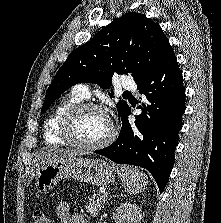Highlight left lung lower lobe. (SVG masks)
I'll use <instances>...</instances> for the list:
<instances>
[{"mask_svg":"<svg viewBox=\"0 0 221 223\" xmlns=\"http://www.w3.org/2000/svg\"><path fill=\"white\" fill-rule=\"evenodd\" d=\"M137 87L149 104L138 106L142 114L135 116L134 123L128 121V107L120 116L122 128L117 140L95 153L117 164L146 168L163 192L174 165L181 116L185 112L183 77L171 46Z\"/></svg>","mask_w":221,"mask_h":223,"instance_id":"1","label":"left lung lower lobe"}]
</instances>
